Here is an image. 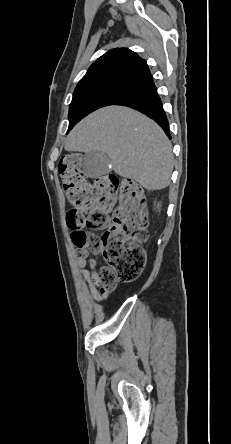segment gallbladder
<instances>
[{
    "label": "gallbladder",
    "mask_w": 231,
    "mask_h": 444,
    "mask_svg": "<svg viewBox=\"0 0 231 444\" xmlns=\"http://www.w3.org/2000/svg\"><path fill=\"white\" fill-rule=\"evenodd\" d=\"M109 156L101 151H90L85 154L83 169L86 176L97 178L109 172Z\"/></svg>",
    "instance_id": "gallbladder-1"
}]
</instances>
